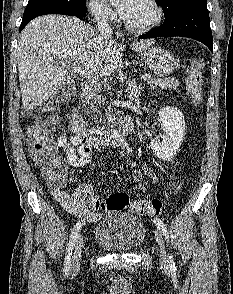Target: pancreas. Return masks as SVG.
Wrapping results in <instances>:
<instances>
[{
    "mask_svg": "<svg viewBox=\"0 0 233 294\" xmlns=\"http://www.w3.org/2000/svg\"><path fill=\"white\" fill-rule=\"evenodd\" d=\"M150 78L147 80V83L151 88H161L163 90H175L179 86V81L176 79H160V78Z\"/></svg>",
    "mask_w": 233,
    "mask_h": 294,
    "instance_id": "pancreas-1",
    "label": "pancreas"
}]
</instances>
